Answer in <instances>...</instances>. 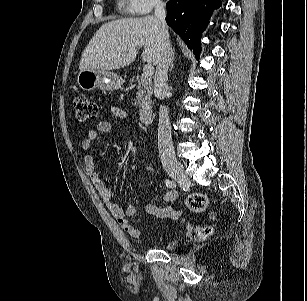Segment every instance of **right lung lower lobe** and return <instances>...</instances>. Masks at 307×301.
I'll use <instances>...</instances> for the list:
<instances>
[{"label": "right lung lower lobe", "mask_w": 307, "mask_h": 301, "mask_svg": "<svg viewBox=\"0 0 307 301\" xmlns=\"http://www.w3.org/2000/svg\"><path fill=\"white\" fill-rule=\"evenodd\" d=\"M220 5L221 0H171L167 3V24L193 50L197 59L201 52V34L213 10Z\"/></svg>", "instance_id": "obj_1"}]
</instances>
